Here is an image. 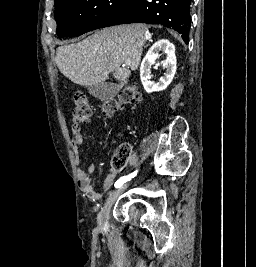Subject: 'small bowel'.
Segmentation results:
<instances>
[{
  "mask_svg": "<svg viewBox=\"0 0 256 267\" xmlns=\"http://www.w3.org/2000/svg\"><path fill=\"white\" fill-rule=\"evenodd\" d=\"M71 143L73 150L75 152V163L77 166L80 164L79 150L83 145V136L81 134V128L78 123H73L71 125ZM95 167L93 164H88L86 168L77 169V176L79 180L80 189L85 194V196L91 201H98L103 197V192L96 191L92 185L90 175L94 172ZM118 175L117 170L112 169L105 177L102 187L107 189L113 185Z\"/></svg>",
  "mask_w": 256,
  "mask_h": 267,
  "instance_id": "c3829d8e",
  "label": "small bowel"
}]
</instances>
